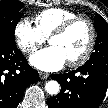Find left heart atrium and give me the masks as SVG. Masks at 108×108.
<instances>
[{
	"label": "left heart atrium",
	"instance_id": "obj_1",
	"mask_svg": "<svg viewBox=\"0 0 108 108\" xmlns=\"http://www.w3.org/2000/svg\"><path fill=\"white\" fill-rule=\"evenodd\" d=\"M30 62L42 71H56L61 69L67 60L58 47L50 46L31 56Z\"/></svg>",
	"mask_w": 108,
	"mask_h": 108
}]
</instances>
